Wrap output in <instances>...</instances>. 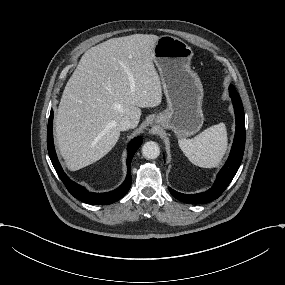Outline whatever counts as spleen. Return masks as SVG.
Listing matches in <instances>:
<instances>
[{"instance_id": "3e777b00", "label": "spleen", "mask_w": 285, "mask_h": 285, "mask_svg": "<svg viewBox=\"0 0 285 285\" xmlns=\"http://www.w3.org/2000/svg\"><path fill=\"white\" fill-rule=\"evenodd\" d=\"M178 144L192 164L203 168L217 167L228 148L225 124L211 126L193 139H179Z\"/></svg>"}]
</instances>
